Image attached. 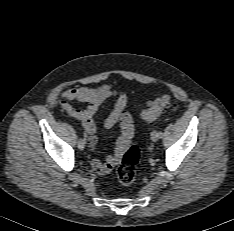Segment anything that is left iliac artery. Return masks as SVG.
<instances>
[{"instance_id":"44dca946","label":"left iliac artery","mask_w":234,"mask_h":231,"mask_svg":"<svg viewBox=\"0 0 234 231\" xmlns=\"http://www.w3.org/2000/svg\"><path fill=\"white\" fill-rule=\"evenodd\" d=\"M159 138H162L163 133L162 132H158Z\"/></svg>"}]
</instances>
